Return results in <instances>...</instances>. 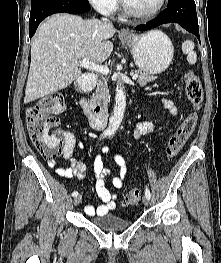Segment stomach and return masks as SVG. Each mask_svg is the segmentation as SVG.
Here are the masks:
<instances>
[{"label":"stomach","mask_w":221,"mask_h":263,"mask_svg":"<svg viewBox=\"0 0 221 263\" xmlns=\"http://www.w3.org/2000/svg\"><path fill=\"white\" fill-rule=\"evenodd\" d=\"M122 41L129 47L137 67L149 74H159L170 65L174 47L167 35L152 30L142 35L132 34Z\"/></svg>","instance_id":"stomach-1"}]
</instances>
